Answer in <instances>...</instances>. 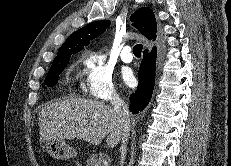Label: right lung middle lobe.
<instances>
[{
	"mask_svg": "<svg viewBox=\"0 0 231 166\" xmlns=\"http://www.w3.org/2000/svg\"><path fill=\"white\" fill-rule=\"evenodd\" d=\"M70 57L71 55H61V56H57L54 59L44 81L46 85L52 87L57 84L59 74L62 72V70L68 63Z\"/></svg>",
	"mask_w": 231,
	"mask_h": 166,
	"instance_id": "dd1d6c3e",
	"label": "right lung middle lobe"
}]
</instances>
